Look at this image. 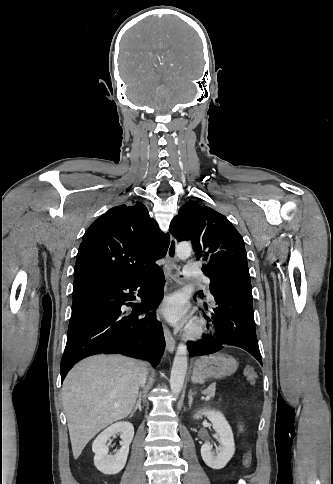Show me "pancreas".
Masks as SVG:
<instances>
[{"instance_id": "cf45deb5", "label": "pancreas", "mask_w": 333, "mask_h": 484, "mask_svg": "<svg viewBox=\"0 0 333 484\" xmlns=\"http://www.w3.org/2000/svg\"><path fill=\"white\" fill-rule=\"evenodd\" d=\"M202 394L207 395L209 397H214L215 395V384L212 383L209 385L203 392Z\"/></svg>"}]
</instances>
